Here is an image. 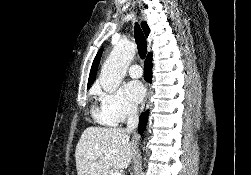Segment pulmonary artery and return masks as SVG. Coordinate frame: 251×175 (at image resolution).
Instances as JSON below:
<instances>
[{"label":"pulmonary artery","instance_id":"pulmonary-artery-1","mask_svg":"<svg viewBox=\"0 0 251 175\" xmlns=\"http://www.w3.org/2000/svg\"><path fill=\"white\" fill-rule=\"evenodd\" d=\"M128 73L131 77H140L143 74V70L138 64L134 63L129 67Z\"/></svg>","mask_w":251,"mask_h":175}]
</instances>
